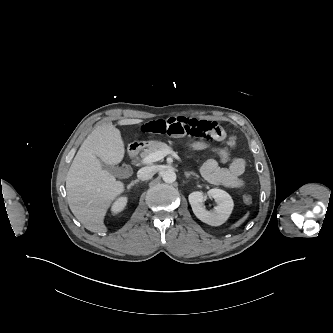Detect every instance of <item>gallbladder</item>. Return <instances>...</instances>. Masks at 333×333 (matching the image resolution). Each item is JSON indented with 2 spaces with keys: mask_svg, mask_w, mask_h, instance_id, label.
<instances>
[{
  "mask_svg": "<svg viewBox=\"0 0 333 333\" xmlns=\"http://www.w3.org/2000/svg\"><path fill=\"white\" fill-rule=\"evenodd\" d=\"M101 164H102V168L104 170H107L111 174H113L115 176H118V177L121 175L122 171L124 170L122 167H118L116 165L106 164L105 162H101Z\"/></svg>",
  "mask_w": 333,
  "mask_h": 333,
  "instance_id": "obj_1",
  "label": "gallbladder"
}]
</instances>
